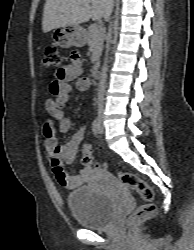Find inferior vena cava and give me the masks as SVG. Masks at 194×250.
I'll return each instance as SVG.
<instances>
[{"mask_svg": "<svg viewBox=\"0 0 194 250\" xmlns=\"http://www.w3.org/2000/svg\"><path fill=\"white\" fill-rule=\"evenodd\" d=\"M107 21H110V17ZM112 35V22L110 21V26H109V32L107 36V51H106V58L104 61V65L102 67V72L100 76V83H99V89H98V99H97V105H98V117L101 118L103 115L104 111V93H105V88H106V79H107V62H108V51H109V44H110V39Z\"/></svg>", "mask_w": 194, "mask_h": 250, "instance_id": "602c4592", "label": "inferior vena cava"}]
</instances>
